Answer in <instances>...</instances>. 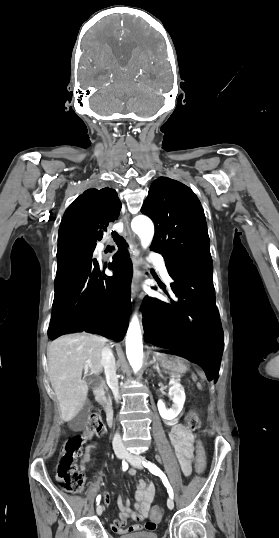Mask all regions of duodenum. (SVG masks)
Returning a JSON list of instances; mask_svg holds the SVG:
<instances>
[{
	"label": "duodenum",
	"instance_id": "obj_1",
	"mask_svg": "<svg viewBox=\"0 0 279 538\" xmlns=\"http://www.w3.org/2000/svg\"><path fill=\"white\" fill-rule=\"evenodd\" d=\"M106 386H107V383L105 381H102V382H100V386L98 387V390L100 392H103L105 390ZM93 394H96V391H93ZM95 398L97 400H100L102 398V395L100 393H97L95 395ZM105 405H106V410H107V414H106V417H107L106 422L107 423L105 424V427L107 429H111L113 427V424H112L113 419H112V417H113V413H114L112 402L110 400H107L105 402Z\"/></svg>",
	"mask_w": 279,
	"mask_h": 538
}]
</instances>
